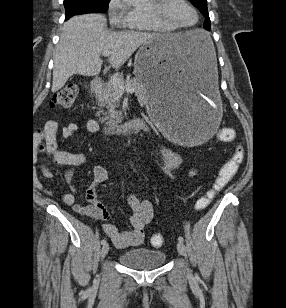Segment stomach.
I'll return each instance as SVG.
<instances>
[{"label": "stomach", "instance_id": "obj_1", "mask_svg": "<svg viewBox=\"0 0 286 308\" xmlns=\"http://www.w3.org/2000/svg\"><path fill=\"white\" fill-rule=\"evenodd\" d=\"M183 34L141 44L134 74L146 87L145 107L159 132H169L174 144H213L208 132L221 116L217 50L202 30Z\"/></svg>", "mask_w": 286, "mask_h": 308}]
</instances>
